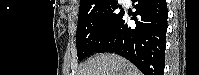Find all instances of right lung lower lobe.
Wrapping results in <instances>:
<instances>
[{"instance_id":"98d812e1","label":"right lung lower lobe","mask_w":199,"mask_h":75,"mask_svg":"<svg viewBox=\"0 0 199 75\" xmlns=\"http://www.w3.org/2000/svg\"><path fill=\"white\" fill-rule=\"evenodd\" d=\"M135 27L128 25L125 12L107 41L95 52H115L139 68L144 75H163L167 6L165 0H132Z\"/></svg>"}]
</instances>
